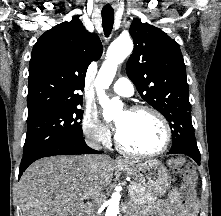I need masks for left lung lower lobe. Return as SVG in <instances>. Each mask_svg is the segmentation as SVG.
<instances>
[{
  "label": "left lung lower lobe",
  "mask_w": 221,
  "mask_h": 216,
  "mask_svg": "<svg viewBox=\"0 0 221 216\" xmlns=\"http://www.w3.org/2000/svg\"><path fill=\"white\" fill-rule=\"evenodd\" d=\"M174 153H179V154H185L191 158H193L198 165H200V154L199 153H193V152H189V151H185V150H180V149H170V151L168 152V154H174Z\"/></svg>",
  "instance_id": "left-lung-lower-lobe-1"
}]
</instances>
